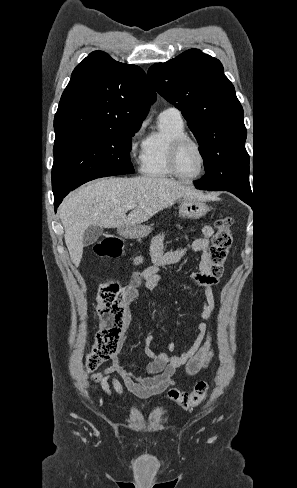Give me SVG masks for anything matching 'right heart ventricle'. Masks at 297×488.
<instances>
[{
    "mask_svg": "<svg viewBox=\"0 0 297 488\" xmlns=\"http://www.w3.org/2000/svg\"><path fill=\"white\" fill-rule=\"evenodd\" d=\"M186 134L181 117L160 115L156 128L144 140L140 157V171L153 178L174 176L168 167V151L171 143Z\"/></svg>",
    "mask_w": 297,
    "mask_h": 488,
    "instance_id": "obj_1",
    "label": "right heart ventricle"
}]
</instances>
